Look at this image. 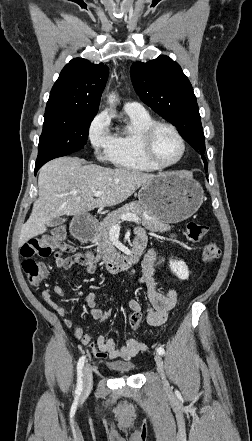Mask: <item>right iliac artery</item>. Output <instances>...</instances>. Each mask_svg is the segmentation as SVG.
Wrapping results in <instances>:
<instances>
[{
    "mask_svg": "<svg viewBox=\"0 0 252 441\" xmlns=\"http://www.w3.org/2000/svg\"><path fill=\"white\" fill-rule=\"evenodd\" d=\"M85 362V356H82L77 363V387L75 393L80 395L82 391V376H83V366Z\"/></svg>",
    "mask_w": 252,
    "mask_h": 441,
    "instance_id": "obj_1",
    "label": "right iliac artery"
}]
</instances>
